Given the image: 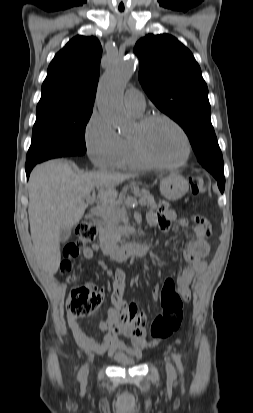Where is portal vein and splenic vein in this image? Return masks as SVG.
<instances>
[{
  "instance_id": "obj_1",
  "label": "portal vein and splenic vein",
  "mask_w": 253,
  "mask_h": 413,
  "mask_svg": "<svg viewBox=\"0 0 253 413\" xmlns=\"http://www.w3.org/2000/svg\"><path fill=\"white\" fill-rule=\"evenodd\" d=\"M86 201H87V203L91 204V203H92V197L88 195V196L86 197ZM141 205H142V204H141Z\"/></svg>"
}]
</instances>
